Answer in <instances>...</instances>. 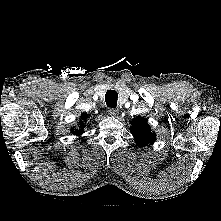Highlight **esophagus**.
Here are the masks:
<instances>
[{
  "instance_id": "34e87169",
  "label": "esophagus",
  "mask_w": 221,
  "mask_h": 221,
  "mask_svg": "<svg viewBox=\"0 0 221 221\" xmlns=\"http://www.w3.org/2000/svg\"><path fill=\"white\" fill-rule=\"evenodd\" d=\"M108 113H109L110 116L116 117L119 114V111H118V109H110L108 111Z\"/></svg>"
}]
</instances>
